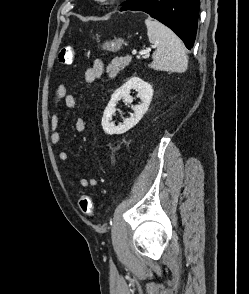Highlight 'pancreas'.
I'll use <instances>...</instances> for the list:
<instances>
[{"label":"pancreas","instance_id":"obj_1","mask_svg":"<svg viewBox=\"0 0 249 294\" xmlns=\"http://www.w3.org/2000/svg\"><path fill=\"white\" fill-rule=\"evenodd\" d=\"M130 61V57L115 58L106 68V72L109 73L110 78H115L121 70L125 69V67L129 65Z\"/></svg>","mask_w":249,"mask_h":294}]
</instances>
